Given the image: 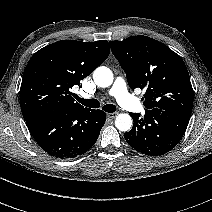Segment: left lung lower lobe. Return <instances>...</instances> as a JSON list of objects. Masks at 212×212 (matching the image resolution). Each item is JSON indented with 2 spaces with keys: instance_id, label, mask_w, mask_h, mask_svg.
Segmentation results:
<instances>
[{
  "instance_id": "1",
  "label": "left lung lower lobe",
  "mask_w": 212,
  "mask_h": 212,
  "mask_svg": "<svg viewBox=\"0 0 212 212\" xmlns=\"http://www.w3.org/2000/svg\"><path fill=\"white\" fill-rule=\"evenodd\" d=\"M132 129L124 133L125 140L136 151L160 156L171 151L181 140L191 114L158 108L146 109L145 116L130 113Z\"/></svg>"
}]
</instances>
